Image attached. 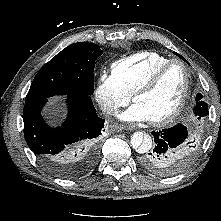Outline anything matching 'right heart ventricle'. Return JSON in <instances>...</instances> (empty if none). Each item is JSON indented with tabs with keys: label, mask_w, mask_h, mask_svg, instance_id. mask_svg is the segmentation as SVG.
<instances>
[{
	"label": "right heart ventricle",
	"mask_w": 221,
	"mask_h": 221,
	"mask_svg": "<svg viewBox=\"0 0 221 221\" xmlns=\"http://www.w3.org/2000/svg\"><path fill=\"white\" fill-rule=\"evenodd\" d=\"M170 58L156 51H141L115 61L112 74L131 95L150 75Z\"/></svg>",
	"instance_id": "1"
}]
</instances>
